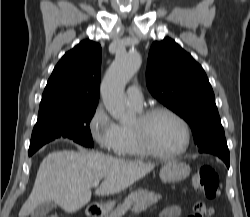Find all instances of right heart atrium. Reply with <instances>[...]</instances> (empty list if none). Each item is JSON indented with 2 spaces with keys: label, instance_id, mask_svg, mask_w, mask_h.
I'll list each match as a JSON object with an SVG mask.
<instances>
[{
  "label": "right heart atrium",
  "instance_id": "d8ad5b80",
  "mask_svg": "<svg viewBox=\"0 0 250 217\" xmlns=\"http://www.w3.org/2000/svg\"><path fill=\"white\" fill-rule=\"evenodd\" d=\"M87 127L92 139L104 151L118 153L121 145L119 125L110 117L102 104L94 108Z\"/></svg>",
  "mask_w": 250,
  "mask_h": 217
}]
</instances>
